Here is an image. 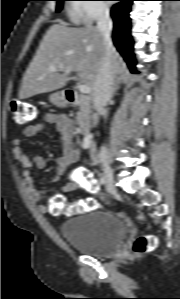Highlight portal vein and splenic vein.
<instances>
[{
  "label": "portal vein and splenic vein",
  "mask_w": 180,
  "mask_h": 299,
  "mask_svg": "<svg viewBox=\"0 0 180 299\" xmlns=\"http://www.w3.org/2000/svg\"><path fill=\"white\" fill-rule=\"evenodd\" d=\"M49 70H50V71H53V72L57 71V69H56L55 67H52V66L49 67ZM65 74L69 75V74H70V71H65ZM77 88H78V90H79L81 93H83V94H89V93H91V88H90L89 86H87V85L79 84V85L77 86Z\"/></svg>",
  "instance_id": "portal-vein-and-splenic-vein-1"
}]
</instances>
